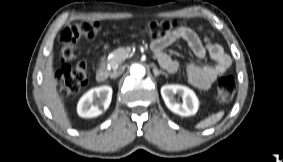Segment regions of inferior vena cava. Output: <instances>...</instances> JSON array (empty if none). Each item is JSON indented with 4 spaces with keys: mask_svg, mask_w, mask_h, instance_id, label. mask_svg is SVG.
<instances>
[{
    "mask_svg": "<svg viewBox=\"0 0 283 162\" xmlns=\"http://www.w3.org/2000/svg\"><path fill=\"white\" fill-rule=\"evenodd\" d=\"M122 74V71H116V72H113L111 74V78H117L118 76H120Z\"/></svg>",
    "mask_w": 283,
    "mask_h": 162,
    "instance_id": "inferior-vena-cava-1",
    "label": "inferior vena cava"
}]
</instances>
